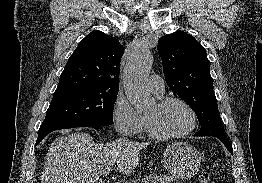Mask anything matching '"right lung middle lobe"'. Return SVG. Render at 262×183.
<instances>
[{"mask_svg": "<svg viewBox=\"0 0 262 183\" xmlns=\"http://www.w3.org/2000/svg\"><path fill=\"white\" fill-rule=\"evenodd\" d=\"M118 91L75 89L53 94L42 125L54 123H89L109 126Z\"/></svg>", "mask_w": 262, "mask_h": 183, "instance_id": "obj_1", "label": "right lung middle lobe"}]
</instances>
